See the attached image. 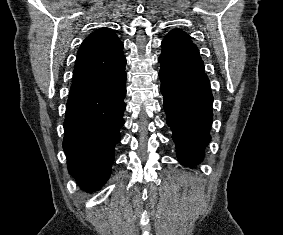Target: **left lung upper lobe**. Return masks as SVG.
I'll list each match as a JSON object with an SVG mask.
<instances>
[{"instance_id":"obj_1","label":"left lung upper lobe","mask_w":283,"mask_h":235,"mask_svg":"<svg viewBox=\"0 0 283 235\" xmlns=\"http://www.w3.org/2000/svg\"><path fill=\"white\" fill-rule=\"evenodd\" d=\"M162 48L160 63L204 71L198 48L181 29L172 30L162 41Z\"/></svg>"}]
</instances>
